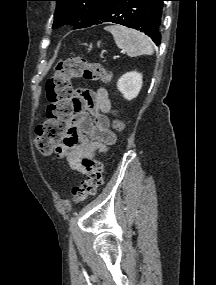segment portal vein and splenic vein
I'll use <instances>...</instances> for the list:
<instances>
[{
  "label": "portal vein and splenic vein",
  "mask_w": 216,
  "mask_h": 285,
  "mask_svg": "<svg viewBox=\"0 0 216 285\" xmlns=\"http://www.w3.org/2000/svg\"><path fill=\"white\" fill-rule=\"evenodd\" d=\"M118 56H114L113 58L116 59Z\"/></svg>",
  "instance_id": "1"
}]
</instances>
